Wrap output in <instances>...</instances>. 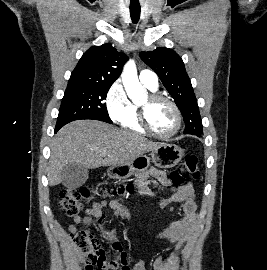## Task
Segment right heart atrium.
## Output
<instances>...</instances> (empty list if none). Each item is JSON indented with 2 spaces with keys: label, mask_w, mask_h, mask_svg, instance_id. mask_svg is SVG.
I'll use <instances>...</instances> for the list:
<instances>
[{
  "label": "right heart atrium",
  "mask_w": 267,
  "mask_h": 270,
  "mask_svg": "<svg viewBox=\"0 0 267 270\" xmlns=\"http://www.w3.org/2000/svg\"><path fill=\"white\" fill-rule=\"evenodd\" d=\"M105 106L110 119L115 123H122L129 116L132 103L120 80L109 87L105 96Z\"/></svg>",
  "instance_id": "obj_1"
}]
</instances>
